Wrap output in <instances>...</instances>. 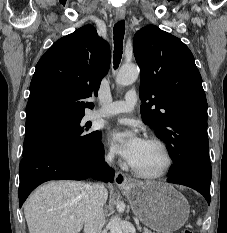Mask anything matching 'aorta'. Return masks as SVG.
Masks as SVG:
<instances>
[{
    "label": "aorta",
    "mask_w": 227,
    "mask_h": 233,
    "mask_svg": "<svg viewBox=\"0 0 227 233\" xmlns=\"http://www.w3.org/2000/svg\"><path fill=\"white\" fill-rule=\"evenodd\" d=\"M139 75V68L136 65L122 66L116 75V83L127 86L134 83ZM110 233H122L120 218L113 217L109 222Z\"/></svg>",
    "instance_id": "1"
}]
</instances>
